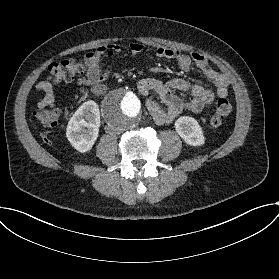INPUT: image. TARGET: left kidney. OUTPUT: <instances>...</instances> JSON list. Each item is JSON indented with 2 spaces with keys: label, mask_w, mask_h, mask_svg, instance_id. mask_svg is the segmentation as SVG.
<instances>
[{
  "label": "left kidney",
  "mask_w": 279,
  "mask_h": 279,
  "mask_svg": "<svg viewBox=\"0 0 279 279\" xmlns=\"http://www.w3.org/2000/svg\"><path fill=\"white\" fill-rule=\"evenodd\" d=\"M174 128L181 139L189 146L202 147L206 138L202 126L190 116H181L175 123Z\"/></svg>",
  "instance_id": "5707ae66"
}]
</instances>
